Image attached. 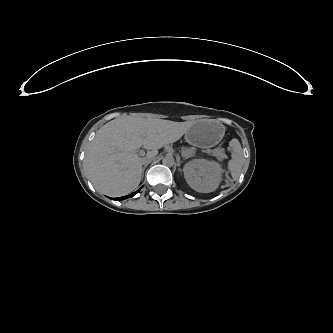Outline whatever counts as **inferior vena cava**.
Listing matches in <instances>:
<instances>
[{"instance_id": "inferior-vena-cava-1", "label": "inferior vena cava", "mask_w": 333, "mask_h": 333, "mask_svg": "<svg viewBox=\"0 0 333 333\" xmlns=\"http://www.w3.org/2000/svg\"><path fill=\"white\" fill-rule=\"evenodd\" d=\"M153 159H154V158H144V159L142 160V165H148V164H150V163L152 162Z\"/></svg>"}]
</instances>
